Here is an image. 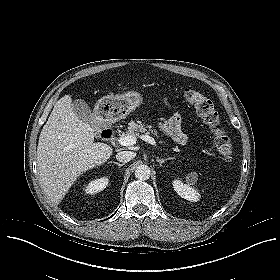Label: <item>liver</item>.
<instances>
[{
	"label": "liver",
	"instance_id": "6515ba94",
	"mask_svg": "<svg viewBox=\"0 0 280 280\" xmlns=\"http://www.w3.org/2000/svg\"><path fill=\"white\" fill-rule=\"evenodd\" d=\"M93 128L72 110V98L63 96L42 128L37 146V167L43 189L59 204L85 171L105 163L113 153L106 143H94Z\"/></svg>",
	"mask_w": 280,
	"mask_h": 280
}]
</instances>
